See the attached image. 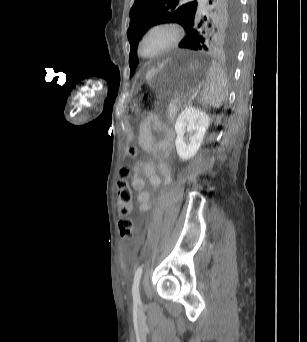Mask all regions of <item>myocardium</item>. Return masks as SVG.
Returning a JSON list of instances; mask_svg holds the SVG:
<instances>
[{"label":"myocardium","instance_id":"1","mask_svg":"<svg viewBox=\"0 0 307 342\" xmlns=\"http://www.w3.org/2000/svg\"><path fill=\"white\" fill-rule=\"evenodd\" d=\"M158 27H163V28L169 29L171 32V39L157 53L153 54L152 56H145L142 52L143 40H144L145 36L152 29L158 28ZM182 36H183L182 31H181L179 25L174 20H171V19L154 20V21L150 22L141 32V35H140L139 40H138V46H137L138 53L145 60H155L157 58L164 56L165 54L169 53L171 50L176 48L180 44V42L182 40Z\"/></svg>","mask_w":307,"mask_h":342}]
</instances>
